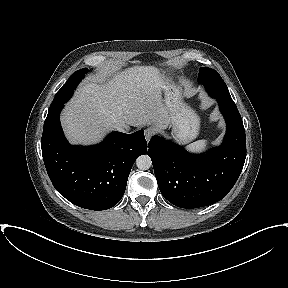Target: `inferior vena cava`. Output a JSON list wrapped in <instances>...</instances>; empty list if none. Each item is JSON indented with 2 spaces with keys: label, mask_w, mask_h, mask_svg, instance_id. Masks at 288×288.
<instances>
[{
  "label": "inferior vena cava",
  "mask_w": 288,
  "mask_h": 288,
  "mask_svg": "<svg viewBox=\"0 0 288 288\" xmlns=\"http://www.w3.org/2000/svg\"><path fill=\"white\" fill-rule=\"evenodd\" d=\"M116 129L120 132H125V128L123 126H116Z\"/></svg>",
  "instance_id": "inferior-vena-cava-1"
}]
</instances>
